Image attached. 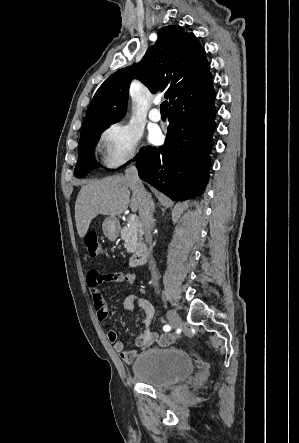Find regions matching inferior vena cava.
Segmentation results:
<instances>
[{"label": "inferior vena cava", "instance_id": "602c4592", "mask_svg": "<svg viewBox=\"0 0 299 443\" xmlns=\"http://www.w3.org/2000/svg\"><path fill=\"white\" fill-rule=\"evenodd\" d=\"M125 177L130 183V187L133 191V194L136 195L139 201V216L142 222V225L145 229L146 233V241L149 245V251L152 250V229H153V209L151 204L150 195L145 190L142 181L138 176V171L135 166H131L127 171ZM150 265L152 266L153 271V285L157 287L156 280V267L153 258L151 257Z\"/></svg>", "mask_w": 299, "mask_h": 443}]
</instances>
